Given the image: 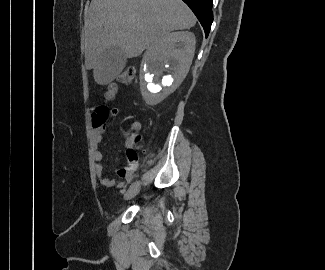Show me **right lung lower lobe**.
Wrapping results in <instances>:
<instances>
[{"instance_id":"right-lung-lower-lobe-1","label":"right lung lower lobe","mask_w":325,"mask_h":270,"mask_svg":"<svg viewBox=\"0 0 325 270\" xmlns=\"http://www.w3.org/2000/svg\"><path fill=\"white\" fill-rule=\"evenodd\" d=\"M200 21L207 36L213 22V0H183Z\"/></svg>"}]
</instances>
